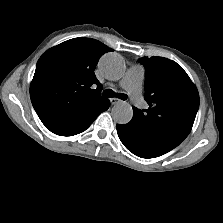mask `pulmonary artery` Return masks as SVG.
I'll list each match as a JSON object with an SVG mask.
<instances>
[{"label": "pulmonary artery", "instance_id": "obj_1", "mask_svg": "<svg viewBox=\"0 0 223 223\" xmlns=\"http://www.w3.org/2000/svg\"><path fill=\"white\" fill-rule=\"evenodd\" d=\"M143 80L144 69L140 65H133L120 81V86L127 91L132 103L138 108H142L145 104L142 97Z\"/></svg>", "mask_w": 223, "mask_h": 223}]
</instances>
